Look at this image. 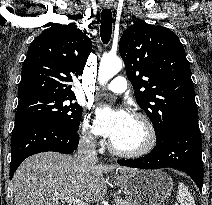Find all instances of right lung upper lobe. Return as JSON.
Instances as JSON below:
<instances>
[{"label": "right lung upper lobe", "instance_id": "1", "mask_svg": "<svg viewBox=\"0 0 212 205\" xmlns=\"http://www.w3.org/2000/svg\"><path fill=\"white\" fill-rule=\"evenodd\" d=\"M91 50L90 38L75 25L53 24L29 47L19 98L34 94L75 97L72 78L82 75Z\"/></svg>", "mask_w": 212, "mask_h": 205}]
</instances>
